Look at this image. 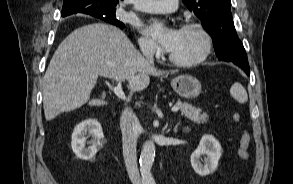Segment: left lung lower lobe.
<instances>
[{"label": "left lung lower lobe", "instance_id": "obj_1", "mask_svg": "<svg viewBox=\"0 0 293 184\" xmlns=\"http://www.w3.org/2000/svg\"><path fill=\"white\" fill-rule=\"evenodd\" d=\"M221 49L224 52H232L234 53V57H219L221 60L230 61L241 67L247 75H249V64L245 49L240 39H236L231 41V43H226L221 46Z\"/></svg>", "mask_w": 293, "mask_h": 184}]
</instances>
